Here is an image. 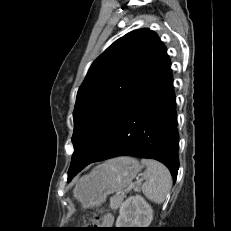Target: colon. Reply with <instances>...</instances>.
I'll return each mask as SVG.
<instances>
[{"label": "colon", "mask_w": 231, "mask_h": 231, "mask_svg": "<svg viewBox=\"0 0 231 231\" xmlns=\"http://www.w3.org/2000/svg\"><path fill=\"white\" fill-rule=\"evenodd\" d=\"M102 212V208H96L92 214L90 215L89 221H97L99 220L100 213Z\"/></svg>", "instance_id": "5ec220e1"}]
</instances>
